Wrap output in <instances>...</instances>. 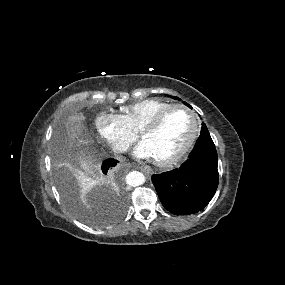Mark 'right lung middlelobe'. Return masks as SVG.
Instances as JSON below:
<instances>
[{
    "label": "right lung middle lobe",
    "mask_w": 285,
    "mask_h": 285,
    "mask_svg": "<svg viewBox=\"0 0 285 285\" xmlns=\"http://www.w3.org/2000/svg\"><path fill=\"white\" fill-rule=\"evenodd\" d=\"M59 190L61 195L68 205V207L73 210V212L82 220L86 221L89 224L95 226L106 225V222L102 221L97 217L86 214L82 209L79 208L77 203V198L74 193L73 185L68 181L63 170L59 169L56 174Z\"/></svg>",
    "instance_id": "right-lung-middle-lobe-1"
}]
</instances>
